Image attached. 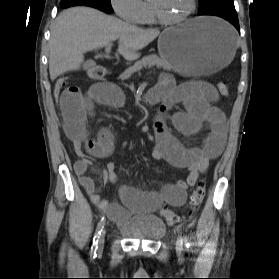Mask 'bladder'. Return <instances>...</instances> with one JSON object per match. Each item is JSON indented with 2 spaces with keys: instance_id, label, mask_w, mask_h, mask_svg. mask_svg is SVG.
I'll return each mask as SVG.
<instances>
[{
  "instance_id": "bladder-1",
  "label": "bladder",
  "mask_w": 279,
  "mask_h": 279,
  "mask_svg": "<svg viewBox=\"0 0 279 279\" xmlns=\"http://www.w3.org/2000/svg\"><path fill=\"white\" fill-rule=\"evenodd\" d=\"M119 231L131 239L157 240L166 232L165 223L154 215L139 217L128 216L126 222L119 225Z\"/></svg>"
}]
</instances>
